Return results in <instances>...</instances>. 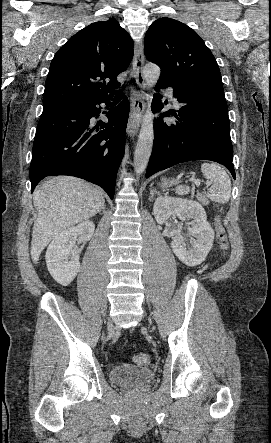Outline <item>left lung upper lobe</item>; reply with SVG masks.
I'll return each instance as SVG.
<instances>
[{"label": "left lung upper lobe", "mask_w": 271, "mask_h": 443, "mask_svg": "<svg viewBox=\"0 0 271 443\" xmlns=\"http://www.w3.org/2000/svg\"><path fill=\"white\" fill-rule=\"evenodd\" d=\"M145 56L161 74L223 89L215 57L187 25L167 17L156 20L145 35Z\"/></svg>", "instance_id": "left-lung-upper-lobe-1"}]
</instances>
